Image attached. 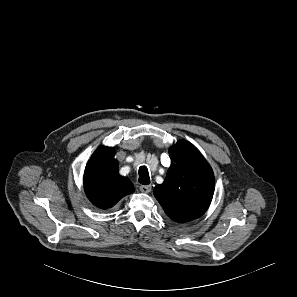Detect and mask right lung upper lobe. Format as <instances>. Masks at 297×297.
<instances>
[{
  "label": "right lung upper lobe",
  "mask_w": 297,
  "mask_h": 297,
  "mask_svg": "<svg viewBox=\"0 0 297 297\" xmlns=\"http://www.w3.org/2000/svg\"><path fill=\"white\" fill-rule=\"evenodd\" d=\"M114 148L101 147L88 161L84 171V190L88 199L101 209L113 207L121 198L134 192L127 177L119 175Z\"/></svg>",
  "instance_id": "right-lung-upper-lobe-1"
}]
</instances>
